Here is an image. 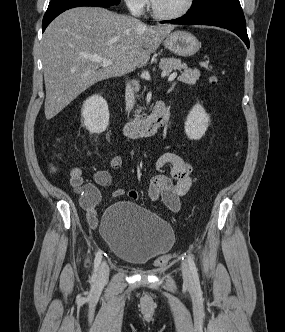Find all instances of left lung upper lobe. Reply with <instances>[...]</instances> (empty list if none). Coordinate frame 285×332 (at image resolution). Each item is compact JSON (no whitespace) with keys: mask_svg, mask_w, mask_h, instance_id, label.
<instances>
[{"mask_svg":"<svg viewBox=\"0 0 285 332\" xmlns=\"http://www.w3.org/2000/svg\"><path fill=\"white\" fill-rule=\"evenodd\" d=\"M227 5H240V2L239 0H193L192 7L188 13L203 12Z\"/></svg>","mask_w":285,"mask_h":332,"instance_id":"5c2ea615","label":"left lung upper lobe"}]
</instances>
